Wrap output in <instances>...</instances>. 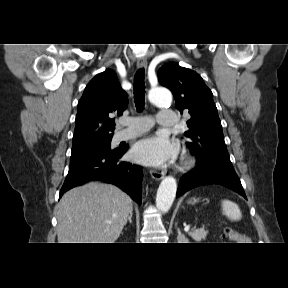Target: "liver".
<instances>
[{"label": "liver", "mask_w": 288, "mask_h": 288, "mask_svg": "<svg viewBox=\"0 0 288 288\" xmlns=\"http://www.w3.org/2000/svg\"><path fill=\"white\" fill-rule=\"evenodd\" d=\"M132 208L118 187L91 181L66 192L58 204L59 243H114Z\"/></svg>", "instance_id": "1"}]
</instances>
